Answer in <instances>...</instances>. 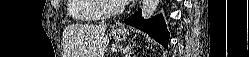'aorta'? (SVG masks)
<instances>
[{"mask_svg": "<svg viewBox=\"0 0 249 57\" xmlns=\"http://www.w3.org/2000/svg\"><path fill=\"white\" fill-rule=\"evenodd\" d=\"M159 4V0H143L142 3V17L143 19L147 20L150 19Z\"/></svg>", "mask_w": 249, "mask_h": 57, "instance_id": "762f6f07", "label": "aorta"}]
</instances>
